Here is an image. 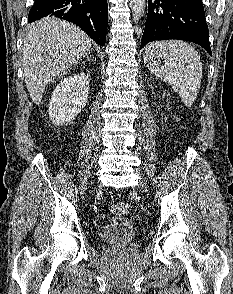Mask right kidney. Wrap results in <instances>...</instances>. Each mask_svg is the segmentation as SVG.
I'll use <instances>...</instances> for the list:
<instances>
[{"mask_svg":"<svg viewBox=\"0 0 233 294\" xmlns=\"http://www.w3.org/2000/svg\"><path fill=\"white\" fill-rule=\"evenodd\" d=\"M89 94V76L74 73L60 81L50 99L48 114L55 125L74 119L85 107Z\"/></svg>","mask_w":233,"mask_h":294,"instance_id":"ca27d5eb","label":"right kidney"}]
</instances>
